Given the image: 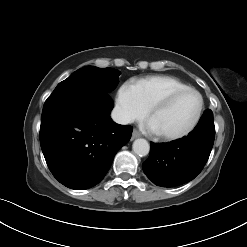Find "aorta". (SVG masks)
<instances>
[{"label": "aorta", "mask_w": 247, "mask_h": 247, "mask_svg": "<svg viewBox=\"0 0 247 247\" xmlns=\"http://www.w3.org/2000/svg\"><path fill=\"white\" fill-rule=\"evenodd\" d=\"M150 146L147 140L145 139H136L133 142V151L139 156H146L149 153Z\"/></svg>", "instance_id": "aorta-1"}]
</instances>
